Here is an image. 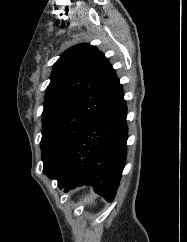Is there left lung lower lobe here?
I'll list each match as a JSON object with an SVG mask.
<instances>
[{"instance_id":"left-lung-lower-lobe-1","label":"left lung lower lobe","mask_w":187,"mask_h":242,"mask_svg":"<svg viewBox=\"0 0 187 242\" xmlns=\"http://www.w3.org/2000/svg\"><path fill=\"white\" fill-rule=\"evenodd\" d=\"M127 106L122 97L80 137L48 176L60 189L91 185L108 201L115 197L127 155Z\"/></svg>"}]
</instances>
